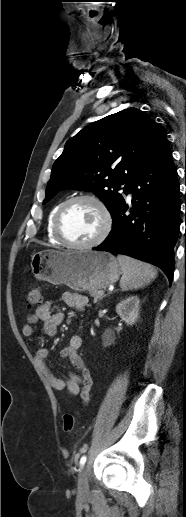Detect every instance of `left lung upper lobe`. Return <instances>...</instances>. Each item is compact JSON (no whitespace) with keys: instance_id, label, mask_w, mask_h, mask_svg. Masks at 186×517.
I'll use <instances>...</instances> for the list:
<instances>
[{"instance_id":"left-lung-upper-lobe-1","label":"left lung upper lobe","mask_w":186,"mask_h":517,"mask_svg":"<svg viewBox=\"0 0 186 517\" xmlns=\"http://www.w3.org/2000/svg\"><path fill=\"white\" fill-rule=\"evenodd\" d=\"M164 135L143 111L129 108L88 125L54 162L44 203L61 190L93 191L111 215L125 203L116 193L151 158ZM113 189V190H112Z\"/></svg>"}]
</instances>
